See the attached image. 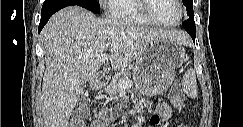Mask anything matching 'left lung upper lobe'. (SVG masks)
<instances>
[{
    "mask_svg": "<svg viewBox=\"0 0 243 127\" xmlns=\"http://www.w3.org/2000/svg\"><path fill=\"white\" fill-rule=\"evenodd\" d=\"M185 6L187 7V15L189 19L184 21L183 26L192 28L195 27L194 13H193V0H183Z\"/></svg>",
    "mask_w": 243,
    "mask_h": 127,
    "instance_id": "obj_1",
    "label": "left lung upper lobe"
}]
</instances>
